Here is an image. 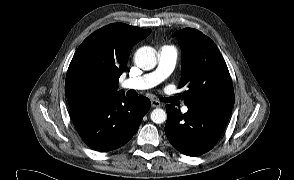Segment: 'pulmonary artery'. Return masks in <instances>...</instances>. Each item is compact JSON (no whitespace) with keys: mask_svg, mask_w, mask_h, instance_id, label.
Returning <instances> with one entry per match:
<instances>
[{"mask_svg":"<svg viewBox=\"0 0 294 180\" xmlns=\"http://www.w3.org/2000/svg\"><path fill=\"white\" fill-rule=\"evenodd\" d=\"M177 59V50L173 46H164L159 50L157 68L140 77L127 79L122 83V88L127 90H145L152 88L164 81L173 71ZM183 113L188 111L187 106L181 108Z\"/></svg>","mask_w":294,"mask_h":180,"instance_id":"obj_1","label":"pulmonary artery"}]
</instances>
